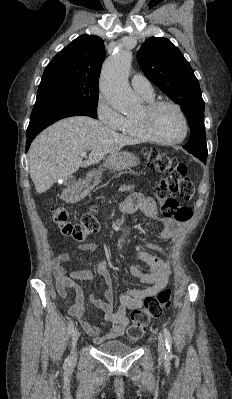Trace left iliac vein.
<instances>
[{"instance_id": "obj_1", "label": "left iliac vein", "mask_w": 232, "mask_h": 399, "mask_svg": "<svg viewBox=\"0 0 232 399\" xmlns=\"http://www.w3.org/2000/svg\"><path fill=\"white\" fill-rule=\"evenodd\" d=\"M158 338V351L160 356H165L166 355V348H165V338L161 337L162 333L158 332L157 333Z\"/></svg>"}]
</instances>
